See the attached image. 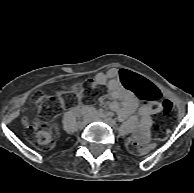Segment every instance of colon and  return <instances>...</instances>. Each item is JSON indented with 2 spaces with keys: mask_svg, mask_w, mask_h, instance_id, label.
<instances>
[{
  "mask_svg": "<svg viewBox=\"0 0 194 193\" xmlns=\"http://www.w3.org/2000/svg\"><path fill=\"white\" fill-rule=\"evenodd\" d=\"M119 78L122 84L132 90L140 101L157 106L164 115L171 114L173 110L172 103L167 99H162L146 79L127 70L121 71ZM77 88L86 99H92L95 96V83L92 81H86ZM51 103L54 111L61 109L63 104L60 97H53ZM20 122L24 128L26 138L36 147L41 150H51L55 146L56 138L47 124L34 122L26 115L20 118ZM153 131L156 134H160L163 131L158 122L155 123ZM127 147L133 153L142 154L145 152V149L134 139L127 141Z\"/></svg>",
  "mask_w": 194,
  "mask_h": 193,
  "instance_id": "1",
  "label": "colon"
}]
</instances>
